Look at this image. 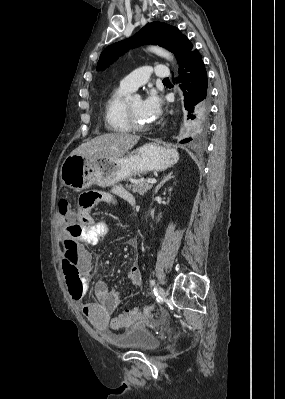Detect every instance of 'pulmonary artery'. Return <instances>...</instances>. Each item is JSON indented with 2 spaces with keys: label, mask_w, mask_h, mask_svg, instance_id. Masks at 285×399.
<instances>
[{
  "label": "pulmonary artery",
  "mask_w": 285,
  "mask_h": 399,
  "mask_svg": "<svg viewBox=\"0 0 285 399\" xmlns=\"http://www.w3.org/2000/svg\"><path fill=\"white\" fill-rule=\"evenodd\" d=\"M152 75L157 78L165 79L170 77V72L168 67L164 64H155L153 68L142 67L123 77L120 81V86L129 91H134L144 84Z\"/></svg>",
  "instance_id": "1"
}]
</instances>
